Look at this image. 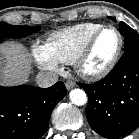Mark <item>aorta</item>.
<instances>
[{
  "label": "aorta",
  "instance_id": "obj_1",
  "mask_svg": "<svg viewBox=\"0 0 139 139\" xmlns=\"http://www.w3.org/2000/svg\"><path fill=\"white\" fill-rule=\"evenodd\" d=\"M70 100L77 106H82L87 102V95L82 89H73L69 94Z\"/></svg>",
  "mask_w": 139,
  "mask_h": 139
}]
</instances>
